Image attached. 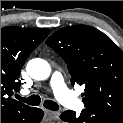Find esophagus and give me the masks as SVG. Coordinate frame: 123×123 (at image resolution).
<instances>
[{
    "instance_id": "esophagus-1",
    "label": "esophagus",
    "mask_w": 123,
    "mask_h": 123,
    "mask_svg": "<svg viewBox=\"0 0 123 123\" xmlns=\"http://www.w3.org/2000/svg\"><path fill=\"white\" fill-rule=\"evenodd\" d=\"M45 114L48 117H51L55 120H59L60 119V112H54V111H49V110H45Z\"/></svg>"
}]
</instances>
